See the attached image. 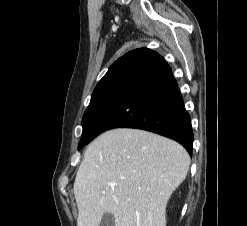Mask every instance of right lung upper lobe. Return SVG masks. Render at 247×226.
Wrapping results in <instances>:
<instances>
[{
	"label": "right lung upper lobe",
	"instance_id": "1",
	"mask_svg": "<svg viewBox=\"0 0 247 226\" xmlns=\"http://www.w3.org/2000/svg\"><path fill=\"white\" fill-rule=\"evenodd\" d=\"M130 53L131 52H128L127 54H125L124 56H122L121 58H119L117 61H115L113 63L112 66H117V65H120V64H123L124 65Z\"/></svg>",
	"mask_w": 247,
	"mask_h": 226
}]
</instances>
